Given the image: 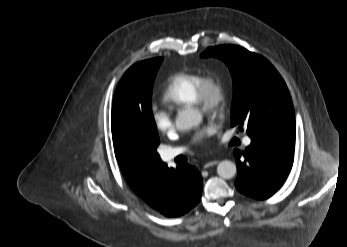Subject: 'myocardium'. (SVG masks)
Instances as JSON below:
<instances>
[{"mask_svg":"<svg viewBox=\"0 0 347 247\" xmlns=\"http://www.w3.org/2000/svg\"><path fill=\"white\" fill-rule=\"evenodd\" d=\"M227 102L226 87L213 75L202 76L196 92L195 105L203 114L221 113Z\"/></svg>","mask_w":347,"mask_h":247,"instance_id":"obj_1","label":"myocardium"}]
</instances>
